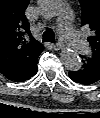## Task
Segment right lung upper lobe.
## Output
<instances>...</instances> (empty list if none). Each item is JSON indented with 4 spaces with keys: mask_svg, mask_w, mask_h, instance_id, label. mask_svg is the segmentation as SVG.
Returning <instances> with one entry per match:
<instances>
[{
    "mask_svg": "<svg viewBox=\"0 0 100 118\" xmlns=\"http://www.w3.org/2000/svg\"><path fill=\"white\" fill-rule=\"evenodd\" d=\"M30 0H0V72L9 80L16 79L42 45L29 31L25 9Z\"/></svg>",
    "mask_w": 100,
    "mask_h": 118,
    "instance_id": "obj_1",
    "label": "right lung upper lobe"
}]
</instances>
